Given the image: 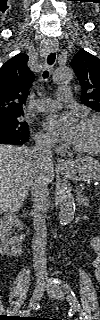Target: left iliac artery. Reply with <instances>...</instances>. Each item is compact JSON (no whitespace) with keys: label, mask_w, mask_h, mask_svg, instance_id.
<instances>
[{"label":"left iliac artery","mask_w":100,"mask_h":320,"mask_svg":"<svg viewBox=\"0 0 100 320\" xmlns=\"http://www.w3.org/2000/svg\"><path fill=\"white\" fill-rule=\"evenodd\" d=\"M64 288L66 290V294H67V299L71 305V309L74 311H77L79 313L80 316V320H87V315L86 313L81 309V306L77 300V297L74 293V291L72 290V288L68 285L65 284Z\"/></svg>","instance_id":"44dca946"}]
</instances>
